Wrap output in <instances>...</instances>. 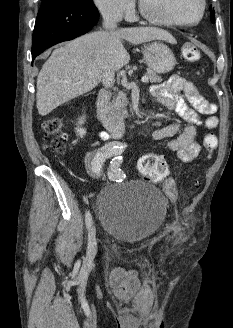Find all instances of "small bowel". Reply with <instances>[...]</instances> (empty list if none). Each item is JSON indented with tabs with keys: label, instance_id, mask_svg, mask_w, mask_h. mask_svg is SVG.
Here are the masks:
<instances>
[{
	"label": "small bowel",
	"instance_id": "1",
	"mask_svg": "<svg viewBox=\"0 0 233 328\" xmlns=\"http://www.w3.org/2000/svg\"><path fill=\"white\" fill-rule=\"evenodd\" d=\"M150 92L159 104L189 122L183 128L176 123L159 128L153 132V139L167 141L168 148L174 151L182 162H191L201 150L196 140L197 126L214 129L219 123L216 104L208 101L193 82L177 75L171 76L164 83L152 86ZM200 115L207 117L202 119ZM100 136L103 140L110 138L107 132H101ZM163 190L170 200H176L177 187L173 178L164 181ZM109 284L114 295L121 300L131 299L141 287L136 272L122 267H116L110 272Z\"/></svg>",
	"mask_w": 233,
	"mask_h": 328
}]
</instances>
